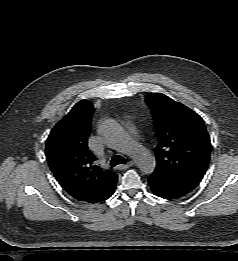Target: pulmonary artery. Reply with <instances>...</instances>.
Returning a JSON list of instances; mask_svg holds the SVG:
<instances>
[{
  "mask_svg": "<svg viewBox=\"0 0 238 261\" xmlns=\"http://www.w3.org/2000/svg\"><path fill=\"white\" fill-rule=\"evenodd\" d=\"M132 132H133V133H135V130H134V129H132Z\"/></svg>",
  "mask_w": 238,
  "mask_h": 261,
  "instance_id": "e3ab8cb5",
  "label": "pulmonary artery"
}]
</instances>
